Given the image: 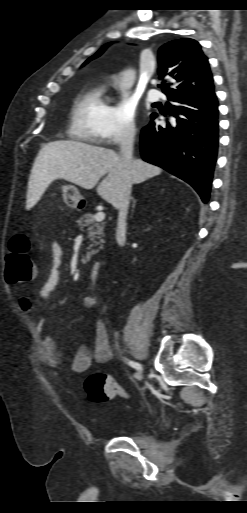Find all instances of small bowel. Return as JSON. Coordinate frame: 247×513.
I'll list each match as a JSON object with an SVG mask.
<instances>
[{
  "mask_svg": "<svg viewBox=\"0 0 247 513\" xmlns=\"http://www.w3.org/2000/svg\"><path fill=\"white\" fill-rule=\"evenodd\" d=\"M51 254L52 267L39 289V295L41 297H49L61 283L63 248L59 242L54 241L51 244ZM35 275L37 276V272H35ZM95 304L96 299L94 296H86L83 298L82 306L84 309H91ZM20 305L27 310L31 309V301L25 296L20 298ZM48 325V320L45 318L39 319L36 324V329L41 336L38 356L43 365L57 369L59 368L61 357L53 337L47 332ZM111 359L112 350L109 345L107 325L103 320H99L95 328L93 345L83 344L79 347L70 363V369L76 373H84L90 368L93 362L104 364Z\"/></svg>",
  "mask_w": 247,
  "mask_h": 513,
  "instance_id": "obj_1",
  "label": "small bowel"
}]
</instances>
